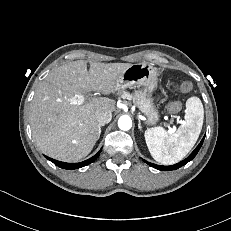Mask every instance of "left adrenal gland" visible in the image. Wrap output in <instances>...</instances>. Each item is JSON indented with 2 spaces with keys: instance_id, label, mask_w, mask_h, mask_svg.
<instances>
[{
  "instance_id": "left-adrenal-gland-1",
  "label": "left adrenal gland",
  "mask_w": 231,
  "mask_h": 231,
  "mask_svg": "<svg viewBox=\"0 0 231 231\" xmlns=\"http://www.w3.org/2000/svg\"><path fill=\"white\" fill-rule=\"evenodd\" d=\"M138 128H139L140 130H142V126H141L140 120H139V123H138Z\"/></svg>"
}]
</instances>
